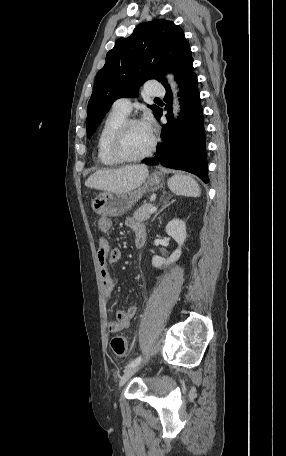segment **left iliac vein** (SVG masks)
<instances>
[{
  "instance_id": "left-iliac-vein-1",
  "label": "left iliac vein",
  "mask_w": 286,
  "mask_h": 456,
  "mask_svg": "<svg viewBox=\"0 0 286 456\" xmlns=\"http://www.w3.org/2000/svg\"><path fill=\"white\" fill-rule=\"evenodd\" d=\"M139 369V365L128 367L119 381V387L123 386Z\"/></svg>"
}]
</instances>
